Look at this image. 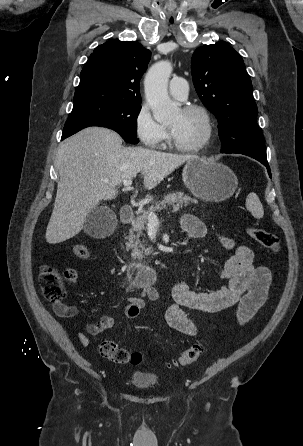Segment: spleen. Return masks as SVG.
I'll return each mask as SVG.
<instances>
[{
    "instance_id": "spleen-1",
    "label": "spleen",
    "mask_w": 303,
    "mask_h": 446,
    "mask_svg": "<svg viewBox=\"0 0 303 446\" xmlns=\"http://www.w3.org/2000/svg\"><path fill=\"white\" fill-rule=\"evenodd\" d=\"M246 208L251 212L252 216L256 219H261L264 215L263 206L256 195V193H250L246 198Z\"/></svg>"
}]
</instances>
